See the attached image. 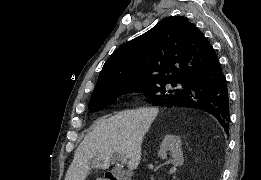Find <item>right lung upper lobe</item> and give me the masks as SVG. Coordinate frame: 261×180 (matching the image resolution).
I'll return each instance as SVG.
<instances>
[{
    "label": "right lung upper lobe",
    "mask_w": 261,
    "mask_h": 180,
    "mask_svg": "<svg viewBox=\"0 0 261 180\" xmlns=\"http://www.w3.org/2000/svg\"><path fill=\"white\" fill-rule=\"evenodd\" d=\"M219 59L206 37L182 16L161 20L121 45L104 64L91 99L148 83L185 81Z\"/></svg>",
    "instance_id": "1"
}]
</instances>
